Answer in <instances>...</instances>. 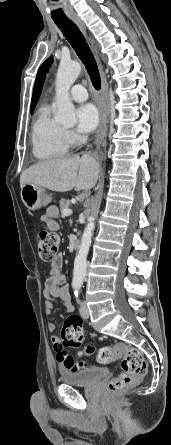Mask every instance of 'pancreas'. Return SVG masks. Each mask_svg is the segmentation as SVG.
Returning a JSON list of instances; mask_svg holds the SVG:
<instances>
[{
    "label": "pancreas",
    "instance_id": "cf45deb5",
    "mask_svg": "<svg viewBox=\"0 0 171 445\" xmlns=\"http://www.w3.org/2000/svg\"><path fill=\"white\" fill-rule=\"evenodd\" d=\"M60 210L63 212L66 208L69 207L70 201L68 199H61L60 202Z\"/></svg>",
    "mask_w": 171,
    "mask_h": 445
}]
</instances>
